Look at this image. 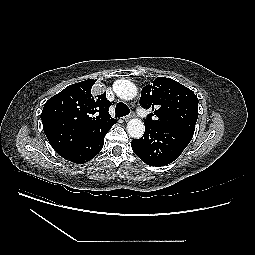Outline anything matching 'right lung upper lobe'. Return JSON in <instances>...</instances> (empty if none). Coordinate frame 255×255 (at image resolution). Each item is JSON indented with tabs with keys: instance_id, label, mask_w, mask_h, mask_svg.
<instances>
[{
	"instance_id": "cb5924a9",
	"label": "right lung upper lobe",
	"mask_w": 255,
	"mask_h": 255,
	"mask_svg": "<svg viewBox=\"0 0 255 255\" xmlns=\"http://www.w3.org/2000/svg\"><path fill=\"white\" fill-rule=\"evenodd\" d=\"M96 80L66 87L51 97L41 113L44 132L53 149L63 156L90 133L111 128L117 121L109 114L106 95H93Z\"/></svg>"
}]
</instances>
